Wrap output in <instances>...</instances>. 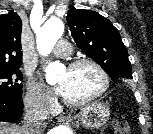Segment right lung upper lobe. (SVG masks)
I'll use <instances>...</instances> for the list:
<instances>
[{"instance_id":"1","label":"right lung upper lobe","mask_w":153,"mask_h":134,"mask_svg":"<svg viewBox=\"0 0 153 134\" xmlns=\"http://www.w3.org/2000/svg\"><path fill=\"white\" fill-rule=\"evenodd\" d=\"M21 31L22 21L17 13L0 15V67L21 64Z\"/></svg>"}]
</instances>
